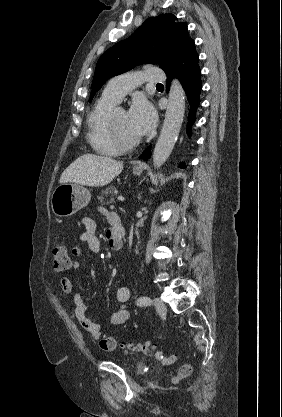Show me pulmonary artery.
I'll return each mask as SVG.
<instances>
[{
  "instance_id": "pulmonary-artery-1",
  "label": "pulmonary artery",
  "mask_w": 282,
  "mask_h": 417,
  "mask_svg": "<svg viewBox=\"0 0 282 417\" xmlns=\"http://www.w3.org/2000/svg\"><path fill=\"white\" fill-rule=\"evenodd\" d=\"M143 71L147 74H141L139 70H132L130 74L114 77L106 85L103 96L119 102L139 83H167L168 81L167 74H161V65H147Z\"/></svg>"
}]
</instances>
